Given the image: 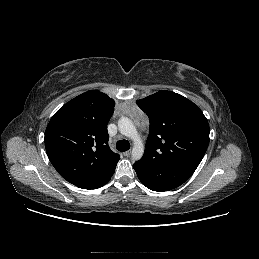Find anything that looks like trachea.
<instances>
[{"label": "trachea", "mask_w": 259, "mask_h": 259, "mask_svg": "<svg viewBox=\"0 0 259 259\" xmlns=\"http://www.w3.org/2000/svg\"><path fill=\"white\" fill-rule=\"evenodd\" d=\"M116 148L118 151H127L130 149V143L127 140H119L116 143Z\"/></svg>", "instance_id": "3493384b"}]
</instances>
